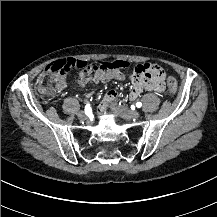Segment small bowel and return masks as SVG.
<instances>
[{
    "label": "small bowel",
    "mask_w": 217,
    "mask_h": 217,
    "mask_svg": "<svg viewBox=\"0 0 217 217\" xmlns=\"http://www.w3.org/2000/svg\"><path fill=\"white\" fill-rule=\"evenodd\" d=\"M126 78L125 73L122 70H104L101 69L99 66H96L92 72L88 75L80 74L78 85L80 87L85 86L89 82L95 83H106L111 80L122 81ZM58 88H63L66 85L65 78L60 76L58 78ZM147 89L154 91V92H161L163 90V85L160 82L154 84L146 85ZM141 93V88L137 82H135L129 92V99L134 100L136 99ZM118 92L116 90H109L103 96L102 102L100 104V109L104 110L105 108L109 107L118 97Z\"/></svg>",
    "instance_id": "small-bowel-1"
}]
</instances>
